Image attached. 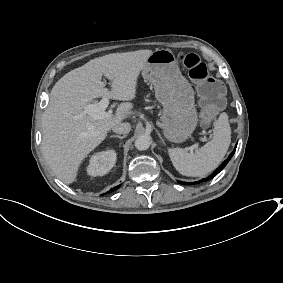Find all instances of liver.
I'll return each mask as SVG.
<instances>
[{"instance_id": "1", "label": "liver", "mask_w": 283, "mask_h": 283, "mask_svg": "<svg viewBox=\"0 0 283 283\" xmlns=\"http://www.w3.org/2000/svg\"><path fill=\"white\" fill-rule=\"evenodd\" d=\"M152 53L146 49L95 58L71 70L53 86L42 117V151L59 180L67 185L76 182L85 158L114 126L131 115L134 104L123 102L104 119H92L84 107L100 96L134 101L138 78ZM103 76L112 80L111 92L104 88Z\"/></svg>"}]
</instances>
